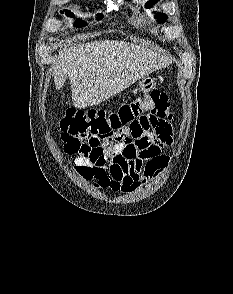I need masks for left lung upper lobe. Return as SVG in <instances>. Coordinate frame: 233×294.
Wrapping results in <instances>:
<instances>
[{
  "label": "left lung upper lobe",
  "instance_id": "5c2ea615",
  "mask_svg": "<svg viewBox=\"0 0 233 294\" xmlns=\"http://www.w3.org/2000/svg\"><path fill=\"white\" fill-rule=\"evenodd\" d=\"M157 1L158 0H150L149 2L146 3L145 7L151 8L153 6V4H155ZM156 18L159 23H162L167 19V15L166 14H157Z\"/></svg>",
  "mask_w": 233,
  "mask_h": 294
}]
</instances>
